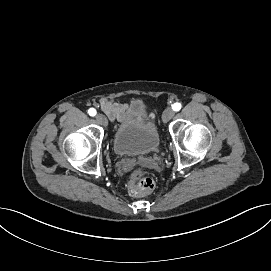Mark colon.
Wrapping results in <instances>:
<instances>
[{"label": "colon", "instance_id": "colon-1", "mask_svg": "<svg viewBox=\"0 0 271 271\" xmlns=\"http://www.w3.org/2000/svg\"><path fill=\"white\" fill-rule=\"evenodd\" d=\"M155 188L154 180L147 176L141 168L135 169L128 182V190L131 195L143 196L151 193Z\"/></svg>", "mask_w": 271, "mask_h": 271}]
</instances>
